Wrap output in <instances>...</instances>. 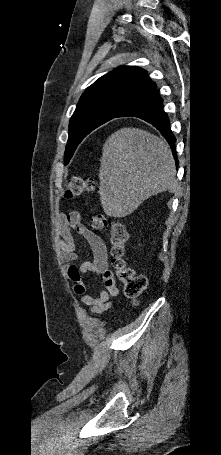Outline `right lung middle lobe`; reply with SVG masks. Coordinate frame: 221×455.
Returning a JSON list of instances; mask_svg holds the SVG:
<instances>
[{"label": "right lung middle lobe", "instance_id": "dd1d6c3e", "mask_svg": "<svg viewBox=\"0 0 221 455\" xmlns=\"http://www.w3.org/2000/svg\"><path fill=\"white\" fill-rule=\"evenodd\" d=\"M124 109L118 105L95 103L76 108L69 123V138L65 150V165L74 154L79 143L92 130L118 117Z\"/></svg>", "mask_w": 221, "mask_h": 455}]
</instances>
